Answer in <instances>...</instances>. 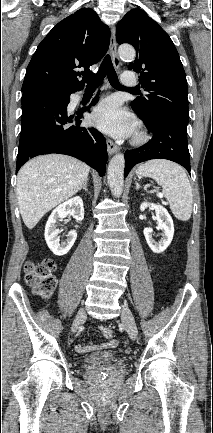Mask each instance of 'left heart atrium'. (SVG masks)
<instances>
[{"label":"left heart atrium","instance_id":"1","mask_svg":"<svg viewBox=\"0 0 213 433\" xmlns=\"http://www.w3.org/2000/svg\"><path fill=\"white\" fill-rule=\"evenodd\" d=\"M91 122L103 132L117 138L129 136L134 130L131 115L114 98L104 100L95 108Z\"/></svg>","mask_w":213,"mask_h":433}]
</instances>
